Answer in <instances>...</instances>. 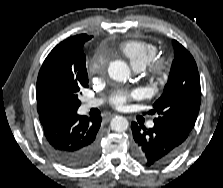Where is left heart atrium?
Instances as JSON below:
<instances>
[{"instance_id": "39dd6f15", "label": "left heart atrium", "mask_w": 223, "mask_h": 188, "mask_svg": "<svg viewBox=\"0 0 223 188\" xmlns=\"http://www.w3.org/2000/svg\"><path fill=\"white\" fill-rule=\"evenodd\" d=\"M139 92H134L132 94H120L113 98L112 104L117 109H124L126 107L127 102L132 99L138 97Z\"/></svg>"}]
</instances>
